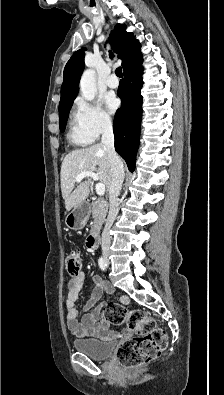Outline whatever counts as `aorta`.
Here are the masks:
<instances>
[{
  "mask_svg": "<svg viewBox=\"0 0 224 395\" xmlns=\"http://www.w3.org/2000/svg\"><path fill=\"white\" fill-rule=\"evenodd\" d=\"M80 91L82 97L87 101H92L97 94L96 73L93 69H87L81 76Z\"/></svg>",
  "mask_w": 224,
  "mask_h": 395,
  "instance_id": "aorta-1",
  "label": "aorta"
}]
</instances>
